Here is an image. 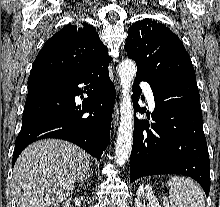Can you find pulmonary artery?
<instances>
[{
  "mask_svg": "<svg viewBox=\"0 0 220 207\" xmlns=\"http://www.w3.org/2000/svg\"><path fill=\"white\" fill-rule=\"evenodd\" d=\"M141 87H142V89L144 91V94H145V96L147 98V101H148L150 107L152 109H154L155 108V101H154V96H153V92L151 90L150 85L148 83H146V82H142L141 83Z\"/></svg>",
  "mask_w": 220,
  "mask_h": 207,
  "instance_id": "obj_1",
  "label": "pulmonary artery"
}]
</instances>
